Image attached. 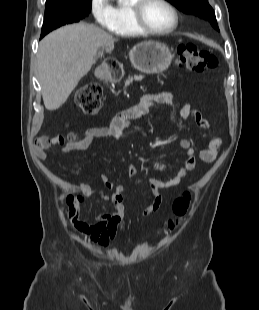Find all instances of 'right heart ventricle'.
<instances>
[{
    "instance_id": "obj_1",
    "label": "right heart ventricle",
    "mask_w": 259,
    "mask_h": 310,
    "mask_svg": "<svg viewBox=\"0 0 259 310\" xmlns=\"http://www.w3.org/2000/svg\"><path fill=\"white\" fill-rule=\"evenodd\" d=\"M135 0H124L118 2L112 7L113 18L111 25L108 27L113 33L120 36H137L141 32L134 25L131 18V5Z\"/></svg>"
}]
</instances>
